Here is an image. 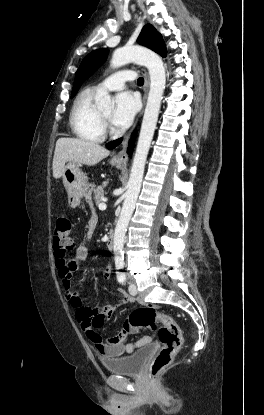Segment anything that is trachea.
<instances>
[{
    "mask_svg": "<svg viewBox=\"0 0 264 415\" xmlns=\"http://www.w3.org/2000/svg\"><path fill=\"white\" fill-rule=\"evenodd\" d=\"M137 84L138 85H143L144 84V79L142 77H139L137 80Z\"/></svg>",
    "mask_w": 264,
    "mask_h": 415,
    "instance_id": "obj_1",
    "label": "trachea"
}]
</instances>
